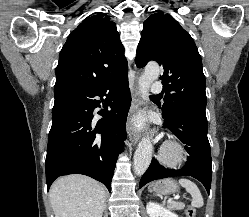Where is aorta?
<instances>
[{
    "mask_svg": "<svg viewBox=\"0 0 249 217\" xmlns=\"http://www.w3.org/2000/svg\"><path fill=\"white\" fill-rule=\"evenodd\" d=\"M160 73V67L157 63L151 62L145 67L143 75L139 79V89L141 97L148 100L150 85L155 81ZM153 145L148 136L144 137L138 144L134 154V172L138 176L144 174L151 163Z\"/></svg>",
    "mask_w": 249,
    "mask_h": 217,
    "instance_id": "obj_1",
    "label": "aorta"
}]
</instances>
